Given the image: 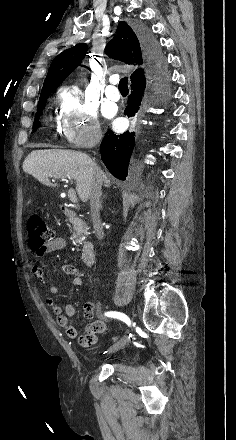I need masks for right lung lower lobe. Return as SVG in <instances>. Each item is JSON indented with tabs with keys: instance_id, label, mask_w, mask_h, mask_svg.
<instances>
[{
	"instance_id": "1",
	"label": "right lung lower lobe",
	"mask_w": 236,
	"mask_h": 440,
	"mask_svg": "<svg viewBox=\"0 0 236 440\" xmlns=\"http://www.w3.org/2000/svg\"><path fill=\"white\" fill-rule=\"evenodd\" d=\"M139 37L147 63V71L155 81V91H158L167 85L169 81L165 56L149 30L140 29ZM147 96L148 85L146 80L132 86L128 106L125 109L126 115L128 117L134 116L145 103ZM134 144V132L115 135L111 130H108L101 143L100 153L103 163L111 174L120 180H125L128 175V164Z\"/></svg>"
}]
</instances>
